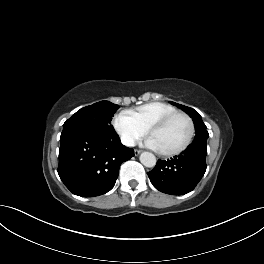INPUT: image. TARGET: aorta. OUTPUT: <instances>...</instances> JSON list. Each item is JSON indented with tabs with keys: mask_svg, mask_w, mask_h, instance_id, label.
Instances as JSON below:
<instances>
[{
	"mask_svg": "<svg viewBox=\"0 0 264 264\" xmlns=\"http://www.w3.org/2000/svg\"><path fill=\"white\" fill-rule=\"evenodd\" d=\"M140 162L145 166V167H148V168H152L156 165V157L153 153L151 152H143L141 153L140 155Z\"/></svg>",
	"mask_w": 264,
	"mask_h": 264,
	"instance_id": "aorta-1",
	"label": "aorta"
}]
</instances>
